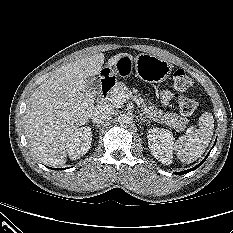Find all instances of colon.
<instances>
[{
    "label": "colon",
    "mask_w": 233,
    "mask_h": 233,
    "mask_svg": "<svg viewBox=\"0 0 233 233\" xmlns=\"http://www.w3.org/2000/svg\"><path fill=\"white\" fill-rule=\"evenodd\" d=\"M174 86L181 94L179 96V110L184 116H191L198 108L196 99L185 93L192 87L193 81L183 69H178L173 74Z\"/></svg>",
    "instance_id": "colon-1"
}]
</instances>
